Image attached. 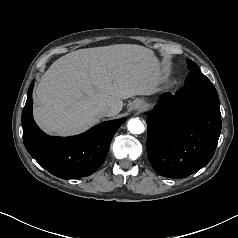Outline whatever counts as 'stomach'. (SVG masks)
Masks as SVG:
<instances>
[{
  "instance_id": "1",
  "label": "stomach",
  "mask_w": 238,
  "mask_h": 238,
  "mask_svg": "<svg viewBox=\"0 0 238 238\" xmlns=\"http://www.w3.org/2000/svg\"><path fill=\"white\" fill-rule=\"evenodd\" d=\"M152 56H153V58L155 59V61L157 62V59H156L155 55H154V54H152Z\"/></svg>"
}]
</instances>
